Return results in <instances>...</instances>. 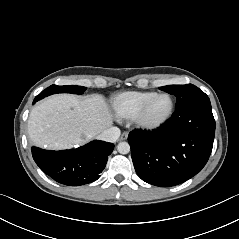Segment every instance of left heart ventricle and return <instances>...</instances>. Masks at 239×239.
<instances>
[{
    "label": "left heart ventricle",
    "instance_id": "1",
    "mask_svg": "<svg viewBox=\"0 0 239 239\" xmlns=\"http://www.w3.org/2000/svg\"><path fill=\"white\" fill-rule=\"evenodd\" d=\"M168 108H169L168 98L164 96L159 97L151 103L147 111V118L152 121L158 120L166 114Z\"/></svg>",
    "mask_w": 239,
    "mask_h": 239
}]
</instances>
